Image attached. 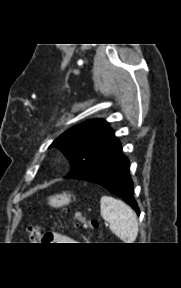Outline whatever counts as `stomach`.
<instances>
[{
    "label": "stomach",
    "instance_id": "obj_1",
    "mask_svg": "<svg viewBox=\"0 0 181 288\" xmlns=\"http://www.w3.org/2000/svg\"><path fill=\"white\" fill-rule=\"evenodd\" d=\"M70 201L71 196L66 193L56 194L48 198V202L52 207H62L64 205H68Z\"/></svg>",
    "mask_w": 181,
    "mask_h": 288
}]
</instances>
